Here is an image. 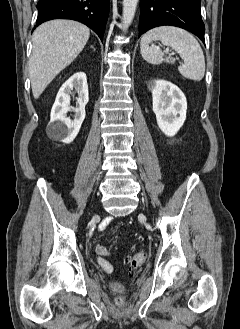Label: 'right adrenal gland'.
I'll list each match as a JSON object with an SVG mask.
<instances>
[{
	"mask_svg": "<svg viewBox=\"0 0 240 329\" xmlns=\"http://www.w3.org/2000/svg\"><path fill=\"white\" fill-rule=\"evenodd\" d=\"M91 48H92L93 50H95L93 46H92Z\"/></svg>",
	"mask_w": 240,
	"mask_h": 329,
	"instance_id": "1",
	"label": "right adrenal gland"
}]
</instances>
